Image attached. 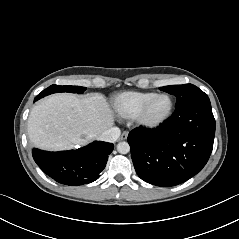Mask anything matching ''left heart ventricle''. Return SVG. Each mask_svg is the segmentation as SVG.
<instances>
[{
    "label": "left heart ventricle",
    "mask_w": 239,
    "mask_h": 239,
    "mask_svg": "<svg viewBox=\"0 0 239 239\" xmlns=\"http://www.w3.org/2000/svg\"><path fill=\"white\" fill-rule=\"evenodd\" d=\"M168 108V100L165 97L155 100L149 108L148 116L152 119L161 117Z\"/></svg>",
    "instance_id": "left-heart-ventricle-1"
}]
</instances>
